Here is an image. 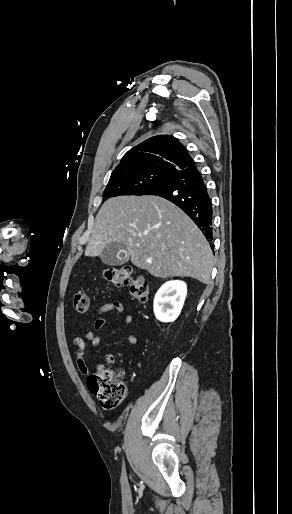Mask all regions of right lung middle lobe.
<instances>
[{
  "label": "right lung middle lobe",
  "mask_w": 292,
  "mask_h": 514,
  "mask_svg": "<svg viewBox=\"0 0 292 514\" xmlns=\"http://www.w3.org/2000/svg\"><path fill=\"white\" fill-rule=\"evenodd\" d=\"M170 175L165 172H142L111 176L102 196L108 198L120 195H143Z\"/></svg>",
  "instance_id": "obj_1"
}]
</instances>
